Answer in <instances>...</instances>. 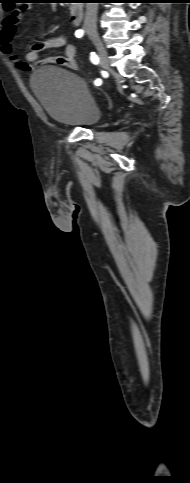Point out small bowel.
I'll list each match as a JSON object with an SVG mask.
<instances>
[{"mask_svg": "<svg viewBox=\"0 0 190 483\" xmlns=\"http://www.w3.org/2000/svg\"><path fill=\"white\" fill-rule=\"evenodd\" d=\"M27 5H22L7 14L0 27V49L5 56L19 69L30 71L34 66L57 64L67 68H76L74 57L76 46L68 42L64 35L51 37L43 41L36 42L24 59L19 58L13 49L12 39L22 20L23 14L28 10ZM62 48L63 56H51L39 59V56L47 50Z\"/></svg>", "mask_w": 190, "mask_h": 483, "instance_id": "1", "label": "small bowel"}]
</instances>
